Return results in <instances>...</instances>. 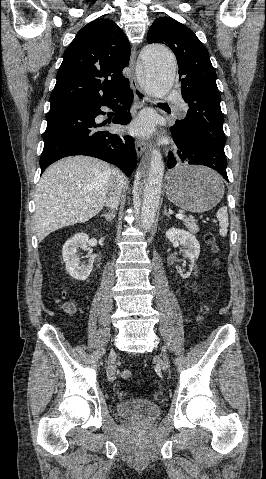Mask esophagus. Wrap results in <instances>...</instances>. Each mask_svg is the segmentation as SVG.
Returning a JSON list of instances; mask_svg holds the SVG:
<instances>
[{
	"mask_svg": "<svg viewBox=\"0 0 266 479\" xmlns=\"http://www.w3.org/2000/svg\"><path fill=\"white\" fill-rule=\"evenodd\" d=\"M135 58H136V47H133L132 52H131L130 62H129V67L133 72L132 76L130 77V85H131V88L133 90L135 99L137 100L139 106L143 107L146 104V102L148 101V98L146 96V93L139 86V84L137 82V79L135 77V74H134ZM148 147H149V145L141 139H137L135 141V148H136V152H137L138 157H140L148 149Z\"/></svg>",
	"mask_w": 266,
	"mask_h": 479,
	"instance_id": "esophagus-1",
	"label": "esophagus"
}]
</instances>
